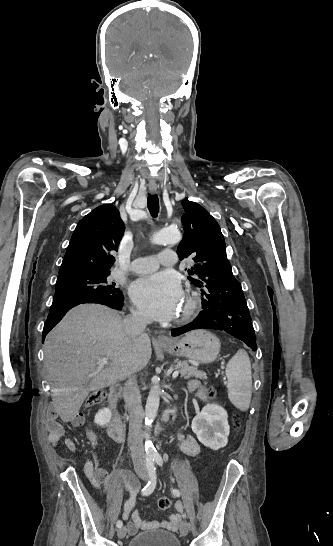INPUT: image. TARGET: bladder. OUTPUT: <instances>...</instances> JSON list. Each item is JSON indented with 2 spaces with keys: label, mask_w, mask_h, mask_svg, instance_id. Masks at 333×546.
<instances>
[{
  "label": "bladder",
  "mask_w": 333,
  "mask_h": 546,
  "mask_svg": "<svg viewBox=\"0 0 333 546\" xmlns=\"http://www.w3.org/2000/svg\"><path fill=\"white\" fill-rule=\"evenodd\" d=\"M127 546H181L178 538L163 530H150L134 535Z\"/></svg>",
  "instance_id": "obj_1"
}]
</instances>
